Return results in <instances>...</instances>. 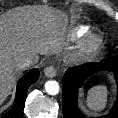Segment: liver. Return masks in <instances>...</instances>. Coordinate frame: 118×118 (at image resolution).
Here are the masks:
<instances>
[{
  "instance_id": "1",
  "label": "liver",
  "mask_w": 118,
  "mask_h": 118,
  "mask_svg": "<svg viewBox=\"0 0 118 118\" xmlns=\"http://www.w3.org/2000/svg\"><path fill=\"white\" fill-rule=\"evenodd\" d=\"M66 16L42 6L12 9L0 17V105L11 93L27 57L57 53Z\"/></svg>"
}]
</instances>
